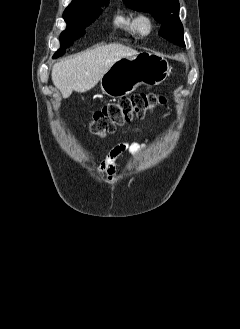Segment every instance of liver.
Masks as SVG:
<instances>
[{
	"mask_svg": "<svg viewBox=\"0 0 240 329\" xmlns=\"http://www.w3.org/2000/svg\"><path fill=\"white\" fill-rule=\"evenodd\" d=\"M137 54L136 50L121 44L97 47L75 58L56 63L51 74L53 84L61 91L64 99L73 91L84 93L95 87L116 61Z\"/></svg>",
	"mask_w": 240,
	"mask_h": 329,
	"instance_id": "liver-1",
	"label": "liver"
}]
</instances>
